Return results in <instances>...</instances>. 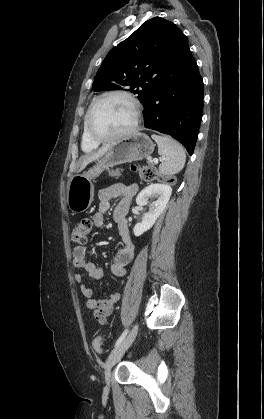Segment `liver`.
<instances>
[{
    "mask_svg": "<svg viewBox=\"0 0 264 419\" xmlns=\"http://www.w3.org/2000/svg\"><path fill=\"white\" fill-rule=\"evenodd\" d=\"M110 146H111L110 144H105L98 151L85 155L82 158V162H81L79 171L83 170L90 162H93V161L101 158L108 151Z\"/></svg>",
    "mask_w": 264,
    "mask_h": 419,
    "instance_id": "obj_1",
    "label": "liver"
}]
</instances>
